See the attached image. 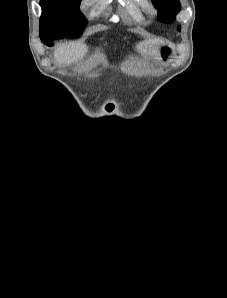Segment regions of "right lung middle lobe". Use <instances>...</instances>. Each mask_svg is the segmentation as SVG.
Segmentation results:
<instances>
[{"mask_svg": "<svg viewBox=\"0 0 227 298\" xmlns=\"http://www.w3.org/2000/svg\"><path fill=\"white\" fill-rule=\"evenodd\" d=\"M81 0H41L40 38L78 37L86 25L79 11Z\"/></svg>", "mask_w": 227, "mask_h": 298, "instance_id": "dd1d6c3e", "label": "right lung middle lobe"}]
</instances>
